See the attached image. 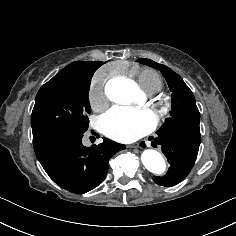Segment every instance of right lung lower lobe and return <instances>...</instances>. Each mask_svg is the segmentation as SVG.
Listing matches in <instances>:
<instances>
[{"mask_svg": "<svg viewBox=\"0 0 236 236\" xmlns=\"http://www.w3.org/2000/svg\"><path fill=\"white\" fill-rule=\"evenodd\" d=\"M84 132L54 130L33 136L36 156L60 187L77 194L97 187L108 170V161L125 146L103 138L92 147L82 144Z\"/></svg>", "mask_w": 236, "mask_h": 236, "instance_id": "obj_1", "label": "right lung lower lobe"}]
</instances>
